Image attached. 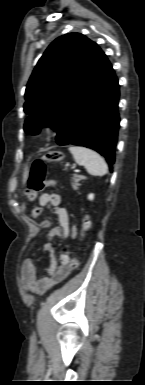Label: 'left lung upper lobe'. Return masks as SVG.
<instances>
[{"label":"left lung upper lobe","mask_w":145,"mask_h":385,"mask_svg":"<svg viewBox=\"0 0 145 385\" xmlns=\"http://www.w3.org/2000/svg\"><path fill=\"white\" fill-rule=\"evenodd\" d=\"M80 33L54 40L39 59L26 87L24 130L38 134L44 126L58 131L79 96L99 52Z\"/></svg>","instance_id":"obj_1"}]
</instances>
